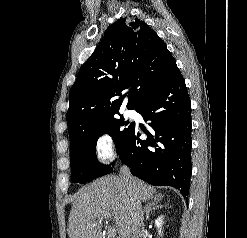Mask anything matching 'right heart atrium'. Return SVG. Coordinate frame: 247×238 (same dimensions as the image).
Segmentation results:
<instances>
[{"label": "right heart atrium", "mask_w": 247, "mask_h": 238, "mask_svg": "<svg viewBox=\"0 0 247 238\" xmlns=\"http://www.w3.org/2000/svg\"><path fill=\"white\" fill-rule=\"evenodd\" d=\"M94 158L100 166L110 164L116 157L115 141L108 131L100 132L93 144Z\"/></svg>", "instance_id": "1"}]
</instances>
